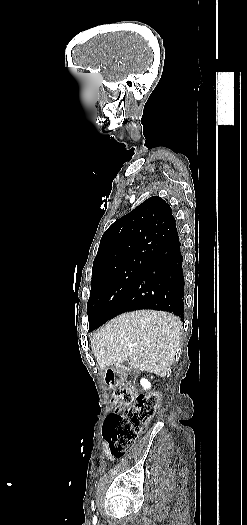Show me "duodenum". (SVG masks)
Returning <instances> with one entry per match:
<instances>
[{
  "label": "duodenum",
  "mask_w": 247,
  "mask_h": 525,
  "mask_svg": "<svg viewBox=\"0 0 247 525\" xmlns=\"http://www.w3.org/2000/svg\"><path fill=\"white\" fill-rule=\"evenodd\" d=\"M125 366V364L122 365V367ZM122 370L121 369H112L108 370L105 375V381L107 385L114 386L119 382V379L121 377Z\"/></svg>",
  "instance_id": "410a0bca"
}]
</instances>
